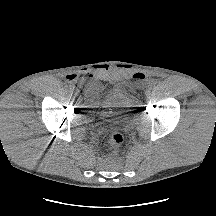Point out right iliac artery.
<instances>
[{
    "instance_id": "obj_1",
    "label": "right iliac artery",
    "mask_w": 216,
    "mask_h": 216,
    "mask_svg": "<svg viewBox=\"0 0 216 216\" xmlns=\"http://www.w3.org/2000/svg\"><path fill=\"white\" fill-rule=\"evenodd\" d=\"M68 89H69V91H71V92H72V91H74V86H69V88H68Z\"/></svg>"
}]
</instances>
